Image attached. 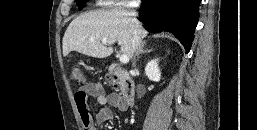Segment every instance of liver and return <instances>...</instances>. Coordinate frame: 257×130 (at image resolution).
Listing matches in <instances>:
<instances>
[{"label":"liver","mask_w":257,"mask_h":130,"mask_svg":"<svg viewBox=\"0 0 257 130\" xmlns=\"http://www.w3.org/2000/svg\"><path fill=\"white\" fill-rule=\"evenodd\" d=\"M132 14L118 9L96 10L81 14L68 26L62 41L63 56L71 51L95 58H106L113 52L102 40L117 41L121 53L132 56L133 28L136 27L143 39L147 31Z\"/></svg>","instance_id":"1"}]
</instances>
